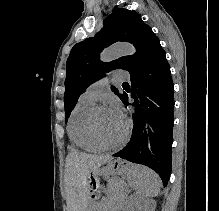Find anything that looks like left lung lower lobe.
<instances>
[{
  "label": "left lung lower lobe",
  "mask_w": 219,
  "mask_h": 211,
  "mask_svg": "<svg viewBox=\"0 0 219 211\" xmlns=\"http://www.w3.org/2000/svg\"><path fill=\"white\" fill-rule=\"evenodd\" d=\"M131 75L132 92L124 93L122 102L129 98L136 112L132 115L133 132L126 147L113 154L131 162L152 168L167 186L172 167L174 122V85L165 51L154 57Z\"/></svg>",
  "instance_id": "1"
}]
</instances>
